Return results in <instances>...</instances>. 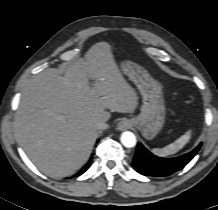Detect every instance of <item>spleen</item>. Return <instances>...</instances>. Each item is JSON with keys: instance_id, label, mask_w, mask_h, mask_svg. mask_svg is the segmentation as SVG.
<instances>
[{"instance_id": "3e777b00", "label": "spleen", "mask_w": 218, "mask_h": 210, "mask_svg": "<svg viewBox=\"0 0 218 210\" xmlns=\"http://www.w3.org/2000/svg\"><path fill=\"white\" fill-rule=\"evenodd\" d=\"M190 138H191V131L189 130L184 135H182L177 140H175L173 143L163 148H154L152 152L157 156L167 157L181 150L188 143Z\"/></svg>"}]
</instances>
